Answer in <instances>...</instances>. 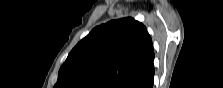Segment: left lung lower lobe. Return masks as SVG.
<instances>
[{
  "mask_svg": "<svg viewBox=\"0 0 223 88\" xmlns=\"http://www.w3.org/2000/svg\"><path fill=\"white\" fill-rule=\"evenodd\" d=\"M154 70L136 83L132 88H153Z\"/></svg>",
  "mask_w": 223,
  "mask_h": 88,
  "instance_id": "0a47b994",
  "label": "left lung lower lobe"
}]
</instances>
